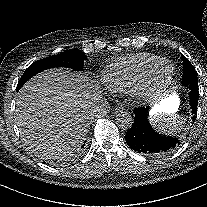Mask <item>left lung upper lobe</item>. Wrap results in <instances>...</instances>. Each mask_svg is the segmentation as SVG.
<instances>
[{"instance_id": "left-lung-upper-lobe-1", "label": "left lung upper lobe", "mask_w": 207, "mask_h": 207, "mask_svg": "<svg viewBox=\"0 0 207 207\" xmlns=\"http://www.w3.org/2000/svg\"><path fill=\"white\" fill-rule=\"evenodd\" d=\"M183 60V77H182V85L190 87V84H198V77L195 71V68L191 65L187 58L184 55H181Z\"/></svg>"}]
</instances>
